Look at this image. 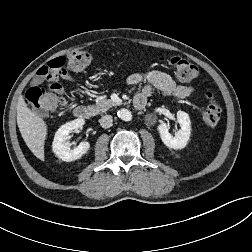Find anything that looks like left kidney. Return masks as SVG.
Listing matches in <instances>:
<instances>
[{"mask_svg":"<svg viewBox=\"0 0 252 252\" xmlns=\"http://www.w3.org/2000/svg\"><path fill=\"white\" fill-rule=\"evenodd\" d=\"M177 120L181 129L178 130L175 135L169 133V125L161 123L157 129L159 131L162 142L172 149H183L188 143L191 134V123L189 115L183 111L177 112Z\"/></svg>","mask_w":252,"mask_h":252,"instance_id":"1","label":"left kidney"}]
</instances>
